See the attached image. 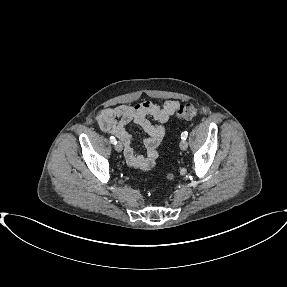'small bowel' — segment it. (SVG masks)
<instances>
[{
	"label": "small bowel",
	"instance_id": "small-bowel-1",
	"mask_svg": "<svg viewBox=\"0 0 287 287\" xmlns=\"http://www.w3.org/2000/svg\"><path fill=\"white\" fill-rule=\"evenodd\" d=\"M178 106L179 103L173 100L163 103L145 101L134 106L122 104L115 108L102 109L97 116V122L104 132L114 134L121 140L125 148L126 161L130 166L148 171L155 164L156 148L165 136L164 124L168 122ZM150 117L154 118L158 124H153ZM130 122L140 126L147 134L144 139L147 156L135 152L131 135L125 128Z\"/></svg>",
	"mask_w": 287,
	"mask_h": 287
}]
</instances>
